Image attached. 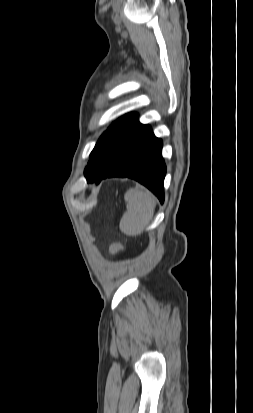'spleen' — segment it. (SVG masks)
<instances>
[{
	"label": "spleen",
	"instance_id": "spleen-1",
	"mask_svg": "<svg viewBox=\"0 0 253 413\" xmlns=\"http://www.w3.org/2000/svg\"><path fill=\"white\" fill-rule=\"evenodd\" d=\"M124 199L127 210L121 218L120 230L128 236H137L152 220L156 198L145 188H130Z\"/></svg>",
	"mask_w": 253,
	"mask_h": 413
}]
</instances>
